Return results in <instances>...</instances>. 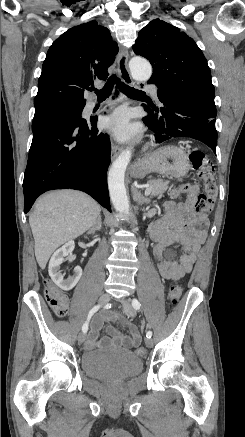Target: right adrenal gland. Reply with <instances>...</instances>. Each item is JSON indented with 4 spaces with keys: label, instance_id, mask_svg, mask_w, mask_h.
<instances>
[{
    "label": "right adrenal gland",
    "instance_id": "1",
    "mask_svg": "<svg viewBox=\"0 0 245 437\" xmlns=\"http://www.w3.org/2000/svg\"><path fill=\"white\" fill-rule=\"evenodd\" d=\"M101 227H102V220H101V215H99L95 225L88 231V234L94 233L96 230H100Z\"/></svg>",
    "mask_w": 245,
    "mask_h": 437
}]
</instances>
